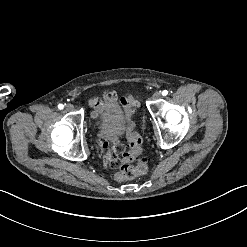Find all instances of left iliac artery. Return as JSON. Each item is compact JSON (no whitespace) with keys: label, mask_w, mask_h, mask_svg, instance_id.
<instances>
[{"label":"left iliac artery","mask_w":247,"mask_h":247,"mask_svg":"<svg viewBox=\"0 0 247 247\" xmlns=\"http://www.w3.org/2000/svg\"><path fill=\"white\" fill-rule=\"evenodd\" d=\"M167 94H168V91H167V90H163V91H162V95H163V96H166Z\"/></svg>","instance_id":"1"}]
</instances>
